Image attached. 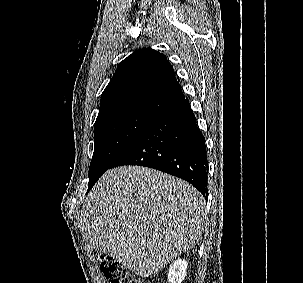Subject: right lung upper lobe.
Wrapping results in <instances>:
<instances>
[{
  "mask_svg": "<svg viewBox=\"0 0 303 283\" xmlns=\"http://www.w3.org/2000/svg\"><path fill=\"white\" fill-rule=\"evenodd\" d=\"M184 95L163 54L143 48L124 59L101 96L96 122L129 113L157 116Z\"/></svg>",
  "mask_w": 303,
  "mask_h": 283,
  "instance_id": "right-lung-upper-lobe-1",
  "label": "right lung upper lobe"
}]
</instances>
